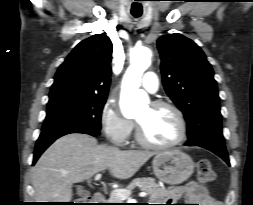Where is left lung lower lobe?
I'll list each match as a JSON object with an SVG mask.
<instances>
[{"instance_id":"obj_1","label":"left lung lower lobe","mask_w":253,"mask_h":205,"mask_svg":"<svg viewBox=\"0 0 253 205\" xmlns=\"http://www.w3.org/2000/svg\"><path fill=\"white\" fill-rule=\"evenodd\" d=\"M187 146H190V145H187ZM194 146H199V147L208 149L212 151L213 153H215L216 155H218L219 157H221L224 161H226L228 165L230 164L224 142L217 141V140H205L197 144H194Z\"/></svg>"}]
</instances>
